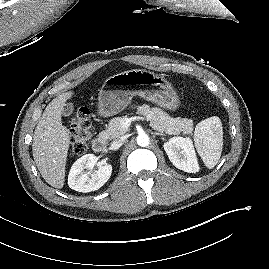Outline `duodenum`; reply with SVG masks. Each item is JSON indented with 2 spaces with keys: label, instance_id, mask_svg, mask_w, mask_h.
I'll return each instance as SVG.
<instances>
[{
  "label": "duodenum",
  "instance_id": "obj_1",
  "mask_svg": "<svg viewBox=\"0 0 269 269\" xmlns=\"http://www.w3.org/2000/svg\"><path fill=\"white\" fill-rule=\"evenodd\" d=\"M107 141L104 137H98L93 142V150L96 152H102L105 150Z\"/></svg>",
  "mask_w": 269,
  "mask_h": 269
}]
</instances>
